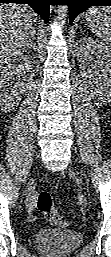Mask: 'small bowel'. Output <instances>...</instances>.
<instances>
[{
	"label": "small bowel",
	"mask_w": 111,
	"mask_h": 257,
	"mask_svg": "<svg viewBox=\"0 0 111 257\" xmlns=\"http://www.w3.org/2000/svg\"><path fill=\"white\" fill-rule=\"evenodd\" d=\"M33 207H34V203H33V201H30V203H29V205H28V211H29L30 213L32 212ZM30 218H31L32 220H34L36 217L31 214V215H30Z\"/></svg>",
	"instance_id": "small-bowel-1"
}]
</instances>
